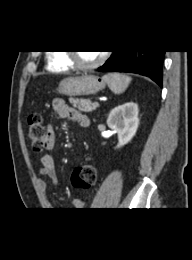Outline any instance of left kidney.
Listing matches in <instances>:
<instances>
[{"mask_svg": "<svg viewBox=\"0 0 192 260\" xmlns=\"http://www.w3.org/2000/svg\"><path fill=\"white\" fill-rule=\"evenodd\" d=\"M139 109L134 102H127L112 109L107 125L118 135L117 148L126 145L135 136L139 126Z\"/></svg>", "mask_w": 192, "mask_h": 260, "instance_id": "5707ae66", "label": "left kidney"}]
</instances>
